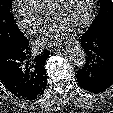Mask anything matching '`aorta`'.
Wrapping results in <instances>:
<instances>
[{"label": "aorta", "mask_w": 113, "mask_h": 113, "mask_svg": "<svg viewBox=\"0 0 113 113\" xmlns=\"http://www.w3.org/2000/svg\"><path fill=\"white\" fill-rule=\"evenodd\" d=\"M65 56L75 66H83L86 62V52L78 44H69L65 49Z\"/></svg>", "instance_id": "obj_1"}]
</instances>
